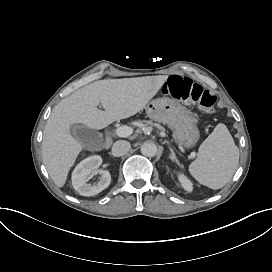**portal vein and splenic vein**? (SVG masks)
I'll return each instance as SVG.
<instances>
[{
    "label": "portal vein and splenic vein",
    "instance_id": "1",
    "mask_svg": "<svg viewBox=\"0 0 272 272\" xmlns=\"http://www.w3.org/2000/svg\"><path fill=\"white\" fill-rule=\"evenodd\" d=\"M133 133V128L128 126H120L116 129V135L119 137H128Z\"/></svg>",
    "mask_w": 272,
    "mask_h": 272
}]
</instances>
